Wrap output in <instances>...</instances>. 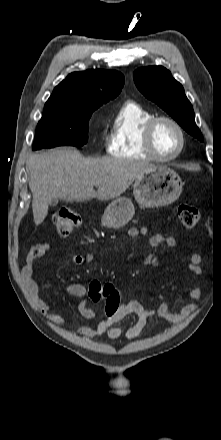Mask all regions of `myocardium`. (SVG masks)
Segmentation results:
<instances>
[{"label":"myocardium","mask_w":221,"mask_h":440,"mask_svg":"<svg viewBox=\"0 0 221 440\" xmlns=\"http://www.w3.org/2000/svg\"><path fill=\"white\" fill-rule=\"evenodd\" d=\"M160 122L170 123L172 126H174L176 128V130L178 131L179 137H180L179 148L177 149V151L175 153H173L172 155H169V156L160 155L154 147V143H153L154 131ZM143 143H144L145 150L149 154L151 159H154V160L160 161V162H168V161H173L176 158H178L181 155V153L184 151L185 146H186V136H185V132H184L183 127L180 125V123L178 121H176L174 118L169 117V116L158 115V116L151 117L145 123L144 128H143Z\"/></svg>","instance_id":"1"}]
</instances>
